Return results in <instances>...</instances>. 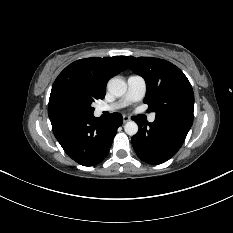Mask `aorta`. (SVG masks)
I'll return each mask as SVG.
<instances>
[{"instance_id": "1", "label": "aorta", "mask_w": 233, "mask_h": 233, "mask_svg": "<svg viewBox=\"0 0 233 233\" xmlns=\"http://www.w3.org/2000/svg\"><path fill=\"white\" fill-rule=\"evenodd\" d=\"M107 89L112 95L121 97L127 91V84L124 80L114 77L108 81ZM124 130L128 135L133 136L138 132V125L134 121H129L124 125Z\"/></svg>"}]
</instances>
